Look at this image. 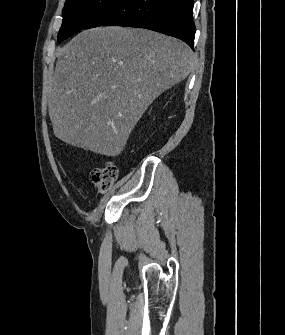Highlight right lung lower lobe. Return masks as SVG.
<instances>
[{
  "label": "right lung lower lobe",
  "instance_id": "1",
  "mask_svg": "<svg viewBox=\"0 0 285 335\" xmlns=\"http://www.w3.org/2000/svg\"><path fill=\"white\" fill-rule=\"evenodd\" d=\"M194 0H115L83 28L138 27L160 32L194 45Z\"/></svg>",
  "mask_w": 285,
  "mask_h": 335
}]
</instances>
